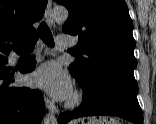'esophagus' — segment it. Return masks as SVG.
Wrapping results in <instances>:
<instances>
[{
  "instance_id": "obj_1",
  "label": "esophagus",
  "mask_w": 156,
  "mask_h": 124,
  "mask_svg": "<svg viewBox=\"0 0 156 124\" xmlns=\"http://www.w3.org/2000/svg\"><path fill=\"white\" fill-rule=\"evenodd\" d=\"M45 18H46L47 24L50 27H52L54 25V21L52 18V1L51 0H49L47 3V7L45 10ZM44 101H45L46 107L48 108L50 112H52L53 114H58V109L53 102H51L47 97L44 98Z\"/></svg>"
}]
</instances>
